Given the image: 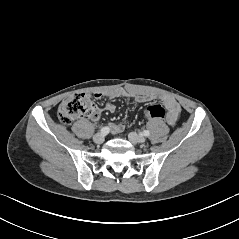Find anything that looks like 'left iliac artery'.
<instances>
[{"label": "left iliac artery", "instance_id": "obj_1", "mask_svg": "<svg viewBox=\"0 0 239 239\" xmlns=\"http://www.w3.org/2000/svg\"><path fill=\"white\" fill-rule=\"evenodd\" d=\"M149 131L148 130H144L143 132H142V135H144V136H149Z\"/></svg>", "mask_w": 239, "mask_h": 239}]
</instances>
